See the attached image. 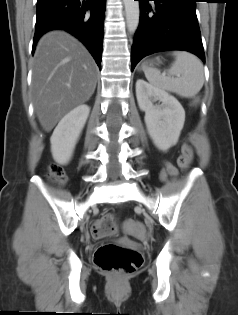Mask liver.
<instances>
[{
	"instance_id": "1",
	"label": "liver",
	"mask_w": 238,
	"mask_h": 315,
	"mask_svg": "<svg viewBox=\"0 0 238 315\" xmlns=\"http://www.w3.org/2000/svg\"><path fill=\"white\" fill-rule=\"evenodd\" d=\"M97 66L84 45L64 31L39 40L32 68L34 107L49 132L76 106L88 101L97 83Z\"/></svg>"
}]
</instances>
